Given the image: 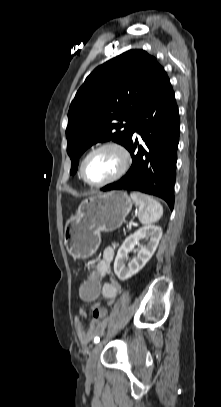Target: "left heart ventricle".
Instances as JSON below:
<instances>
[{"label":"left heart ventricle","mask_w":221,"mask_h":407,"mask_svg":"<svg viewBox=\"0 0 221 407\" xmlns=\"http://www.w3.org/2000/svg\"><path fill=\"white\" fill-rule=\"evenodd\" d=\"M121 165L120 154L113 149H105L89 158L85 166V174L91 182H102L115 175Z\"/></svg>","instance_id":"left-heart-ventricle-1"}]
</instances>
